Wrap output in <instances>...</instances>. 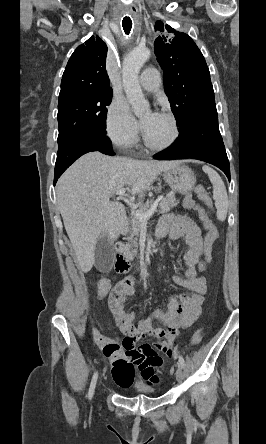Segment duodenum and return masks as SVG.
Segmentation results:
<instances>
[{"label":"duodenum","mask_w":266,"mask_h":444,"mask_svg":"<svg viewBox=\"0 0 266 444\" xmlns=\"http://www.w3.org/2000/svg\"><path fill=\"white\" fill-rule=\"evenodd\" d=\"M115 267L119 272H128L131 269V261L122 248H120L116 253Z\"/></svg>","instance_id":"410a0bca"}]
</instances>
